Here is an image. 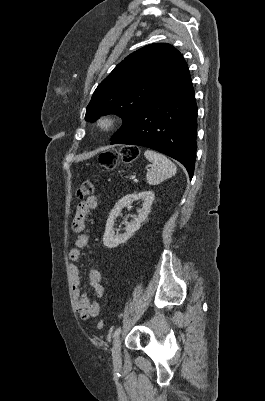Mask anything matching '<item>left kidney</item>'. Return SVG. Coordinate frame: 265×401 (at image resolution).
<instances>
[{"mask_svg": "<svg viewBox=\"0 0 265 401\" xmlns=\"http://www.w3.org/2000/svg\"><path fill=\"white\" fill-rule=\"evenodd\" d=\"M137 198H142L144 201L142 205V209H139L137 217H134V221L132 223H125V231L126 233H122V235H118L114 231V221L117 219L118 215H120L122 209L124 207H130L133 201H137ZM154 201V192L152 190H143V192H132V194H126L123 198H120V201L116 203L115 207H113L111 213H109V217L107 219L105 233L103 237V243L107 249H114V247H118L121 243H126L138 229L141 227V223L145 221L148 217V213L150 211V207ZM119 231V229H116Z\"/></svg>", "mask_w": 265, "mask_h": 401, "instance_id": "left-kidney-1", "label": "left kidney"}]
</instances>
